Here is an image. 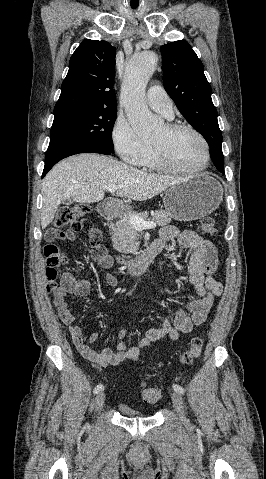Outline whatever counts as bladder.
Returning <instances> with one entry per match:
<instances>
[{
  "label": "bladder",
  "mask_w": 266,
  "mask_h": 479,
  "mask_svg": "<svg viewBox=\"0 0 266 479\" xmlns=\"http://www.w3.org/2000/svg\"><path fill=\"white\" fill-rule=\"evenodd\" d=\"M119 410L121 411L122 415L124 416H129V417H139L142 416V413L140 411L134 410L127 406L126 404L120 403L119 404Z\"/></svg>",
  "instance_id": "obj_1"
}]
</instances>
